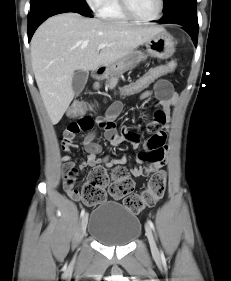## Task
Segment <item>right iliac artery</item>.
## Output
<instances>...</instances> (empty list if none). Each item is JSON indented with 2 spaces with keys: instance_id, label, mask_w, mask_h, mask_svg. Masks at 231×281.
<instances>
[{
  "instance_id": "obj_1",
  "label": "right iliac artery",
  "mask_w": 231,
  "mask_h": 281,
  "mask_svg": "<svg viewBox=\"0 0 231 281\" xmlns=\"http://www.w3.org/2000/svg\"><path fill=\"white\" fill-rule=\"evenodd\" d=\"M84 214H85V210L84 209H82V211H81V217H83L84 216Z\"/></svg>"
}]
</instances>
